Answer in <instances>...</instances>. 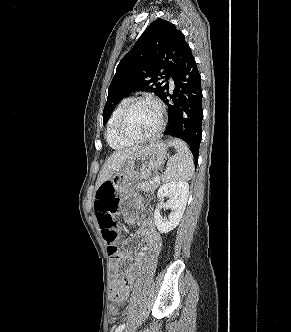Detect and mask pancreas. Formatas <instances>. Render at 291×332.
Instances as JSON below:
<instances>
[{
  "instance_id": "obj_1",
  "label": "pancreas",
  "mask_w": 291,
  "mask_h": 332,
  "mask_svg": "<svg viewBox=\"0 0 291 332\" xmlns=\"http://www.w3.org/2000/svg\"><path fill=\"white\" fill-rule=\"evenodd\" d=\"M135 186L140 191L153 192L159 186V183H156L154 178H150L146 181L137 183Z\"/></svg>"
}]
</instances>
